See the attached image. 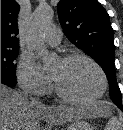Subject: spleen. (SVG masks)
Wrapping results in <instances>:
<instances>
[{"label":"spleen","instance_id":"1","mask_svg":"<svg viewBox=\"0 0 123 130\" xmlns=\"http://www.w3.org/2000/svg\"><path fill=\"white\" fill-rule=\"evenodd\" d=\"M105 130H122L120 122L118 121L116 116H112L108 121Z\"/></svg>","mask_w":123,"mask_h":130}]
</instances>
